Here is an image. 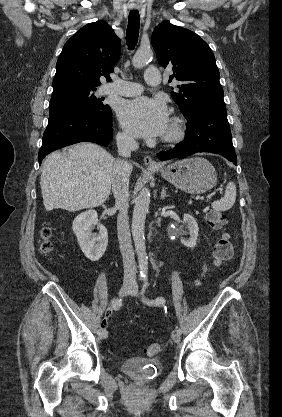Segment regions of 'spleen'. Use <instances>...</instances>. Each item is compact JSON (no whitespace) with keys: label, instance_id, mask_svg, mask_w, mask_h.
Listing matches in <instances>:
<instances>
[{"label":"spleen","instance_id":"3e777b00","mask_svg":"<svg viewBox=\"0 0 282 417\" xmlns=\"http://www.w3.org/2000/svg\"><path fill=\"white\" fill-rule=\"evenodd\" d=\"M236 200V184L235 182H228L224 196L220 200H214L212 202L213 209L215 211H228L233 206Z\"/></svg>","mask_w":282,"mask_h":417}]
</instances>
